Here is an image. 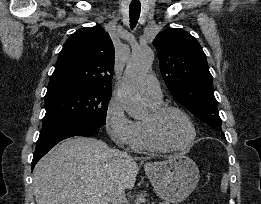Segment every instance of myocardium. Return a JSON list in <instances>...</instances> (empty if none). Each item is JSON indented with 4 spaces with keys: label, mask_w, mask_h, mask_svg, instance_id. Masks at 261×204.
<instances>
[{
    "label": "myocardium",
    "mask_w": 261,
    "mask_h": 204,
    "mask_svg": "<svg viewBox=\"0 0 261 204\" xmlns=\"http://www.w3.org/2000/svg\"><path fill=\"white\" fill-rule=\"evenodd\" d=\"M170 112H176L182 115L191 127L192 135L189 141L181 146H175L169 143L163 136L161 131V123L163 118ZM148 131L153 140L166 150L183 151L190 148L197 138V128L191 116L181 107L176 105H161L155 109H151L145 119Z\"/></svg>",
    "instance_id": "myocardium-1"
}]
</instances>
